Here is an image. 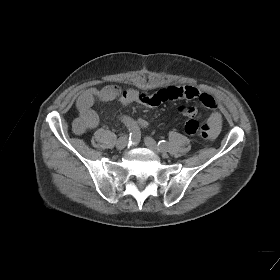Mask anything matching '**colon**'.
I'll return each mask as SVG.
<instances>
[{
  "mask_svg": "<svg viewBox=\"0 0 280 280\" xmlns=\"http://www.w3.org/2000/svg\"><path fill=\"white\" fill-rule=\"evenodd\" d=\"M108 92L112 96H116L119 93V89L117 87L111 86L107 87ZM185 132L189 135H199L204 138H208L211 133V128L207 124H200L195 119H190L185 124Z\"/></svg>",
  "mask_w": 280,
  "mask_h": 280,
  "instance_id": "colon-1",
  "label": "colon"
}]
</instances>
